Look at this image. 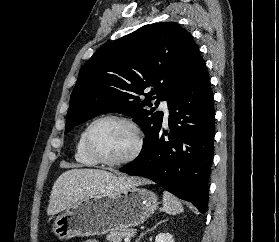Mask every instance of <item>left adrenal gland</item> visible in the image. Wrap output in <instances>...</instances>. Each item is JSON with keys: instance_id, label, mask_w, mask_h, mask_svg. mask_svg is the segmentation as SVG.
Returning a JSON list of instances; mask_svg holds the SVG:
<instances>
[{"instance_id": "a2214340", "label": "left adrenal gland", "mask_w": 279, "mask_h": 242, "mask_svg": "<svg viewBox=\"0 0 279 242\" xmlns=\"http://www.w3.org/2000/svg\"><path fill=\"white\" fill-rule=\"evenodd\" d=\"M162 222H163V221L158 222V223H157L155 226H153L152 228L147 229L144 233H141L140 236H139V238H138L135 242H139L140 239H141L147 232H149V231L155 229V228H156L159 224H161Z\"/></svg>"}]
</instances>
